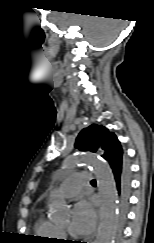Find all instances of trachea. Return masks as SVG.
<instances>
[{
    "mask_svg": "<svg viewBox=\"0 0 154 243\" xmlns=\"http://www.w3.org/2000/svg\"><path fill=\"white\" fill-rule=\"evenodd\" d=\"M91 182H96L95 180H92Z\"/></svg>",
    "mask_w": 154,
    "mask_h": 243,
    "instance_id": "1",
    "label": "trachea"
}]
</instances>
